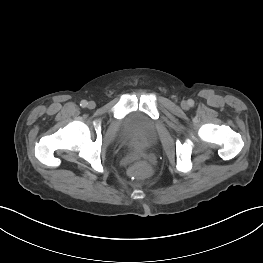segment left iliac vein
Wrapping results in <instances>:
<instances>
[{"label": "left iliac vein", "mask_w": 263, "mask_h": 263, "mask_svg": "<svg viewBox=\"0 0 263 263\" xmlns=\"http://www.w3.org/2000/svg\"><path fill=\"white\" fill-rule=\"evenodd\" d=\"M183 106H186V103H183Z\"/></svg>", "instance_id": "left-iliac-vein-1"}]
</instances>
